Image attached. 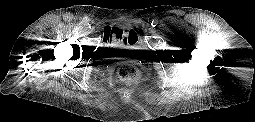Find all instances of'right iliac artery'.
<instances>
[{
    "instance_id": "82829eb1",
    "label": "right iliac artery",
    "mask_w": 255,
    "mask_h": 122,
    "mask_svg": "<svg viewBox=\"0 0 255 122\" xmlns=\"http://www.w3.org/2000/svg\"><path fill=\"white\" fill-rule=\"evenodd\" d=\"M85 28H86V29L91 28L90 24H86V25H85Z\"/></svg>"
}]
</instances>
